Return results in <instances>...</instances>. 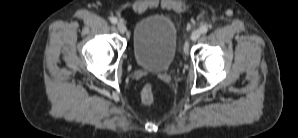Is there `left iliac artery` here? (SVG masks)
<instances>
[{"label": "left iliac artery", "instance_id": "obj_1", "mask_svg": "<svg viewBox=\"0 0 298 138\" xmlns=\"http://www.w3.org/2000/svg\"><path fill=\"white\" fill-rule=\"evenodd\" d=\"M207 31H208V26L207 25H203V26L200 27V32L202 34L207 33Z\"/></svg>", "mask_w": 298, "mask_h": 138}]
</instances>
